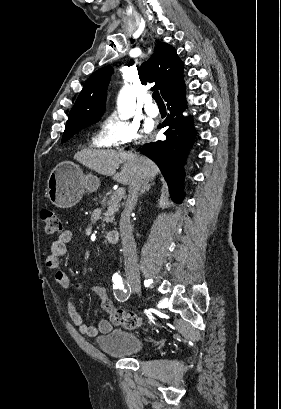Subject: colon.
Returning <instances> with one entry per match:
<instances>
[{
    "mask_svg": "<svg viewBox=\"0 0 281 409\" xmlns=\"http://www.w3.org/2000/svg\"><path fill=\"white\" fill-rule=\"evenodd\" d=\"M42 219L45 223L46 231L49 234L61 233L63 231L62 222L56 211L44 208L42 209ZM110 319L126 329H134L140 326L141 320L138 315L132 313H123L122 306H111L108 308Z\"/></svg>",
    "mask_w": 281,
    "mask_h": 409,
    "instance_id": "colon-1",
    "label": "colon"
}]
</instances>
